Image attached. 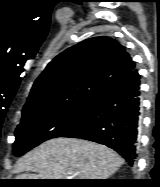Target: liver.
Listing matches in <instances>:
<instances>
[{"instance_id": "1", "label": "liver", "mask_w": 160, "mask_h": 187, "mask_svg": "<svg viewBox=\"0 0 160 187\" xmlns=\"http://www.w3.org/2000/svg\"><path fill=\"white\" fill-rule=\"evenodd\" d=\"M112 149L76 138H54L17 161V179H108L123 164ZM37 174H19L21 172Z\"/></svg>"}]
</instances>
